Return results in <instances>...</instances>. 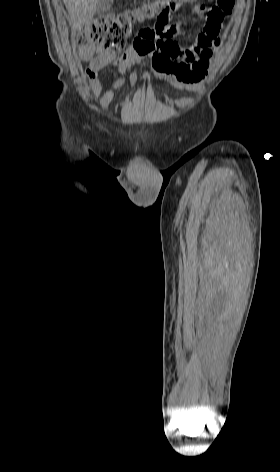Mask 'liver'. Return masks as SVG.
Listing matches in <instances>:
<instances>
[{
    "mask_svg": "<svg viewBox=\"0 0 280 472\" xmlns=\"http://www.w3.org/2000/svg\"><path fill=\"white\" fill-rule=\"evenodd\" d=\"M98 0H64L70 15L73 29L80 31L85 23L90 21L95 12Z\"/></svg>",
    "mask_w": 280,
    "mask_h": 472,
    "instance_id": "1",
    "label": "liver"
}]
</instances>
